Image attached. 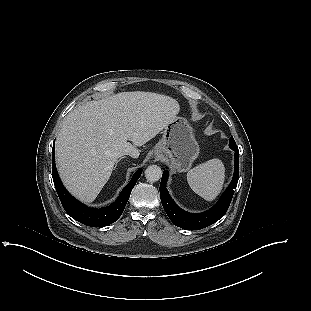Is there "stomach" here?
Wrapping results in <instances>:
<instances>
[{
  "label": "stomach",
  "instance_id": "0dacf381",
  "mask_svg": "<svg viewBox=\"0 0 311 311\" xmlns=\"http://www.w3.org/2000/svg\"><path fill=\"white\" fill-rule=\"evenodd\" d=\"M199 155V145L193 128L182 117H176L162 132L154 148V156H165L179 172L187 171Z\"/></svg>",
  "mask_w": 311,
  "mask_h": 311
}]
</instances>
